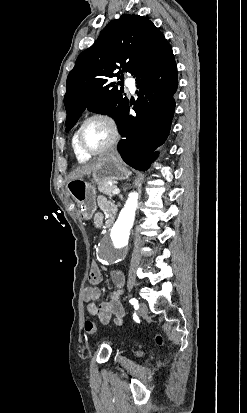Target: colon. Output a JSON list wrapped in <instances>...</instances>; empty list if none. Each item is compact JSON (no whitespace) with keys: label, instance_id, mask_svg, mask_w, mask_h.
I'll list each match as a JSON object with an SVG mask.
<instances>
[{"label":"colon","instance_id":"obj_1","mask_svg":"<svg viewBox=\"0 0 247 413\" xmlns=\"http://www.w3.org/2000/svg\"><path fill=\"white\" fill-rule=\"evenodd\" d=\"M88 282L90 284H95L101 281V267L97 265L96 262H89L88 263ZM96 324L92 319H86L84 321V331L87 334L94 335L96 334ZM155 341L157 344L162 345L164 343V339L161 333L155 334Z\"/></svg>","mask_w":247,"mask_h":413}]
</instances>
